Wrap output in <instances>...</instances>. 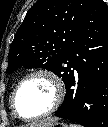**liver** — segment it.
I'll use <instances>...</instances> for the list:
<instances>
[{"label":"liver","instance_id":"6515ba94","mask_svg":"<svg viewBox=\"0 0 108 127\" xmlns=\"http://www.w3.org/2000/svg\"><path fill=\"white\" fill-rule=\"evenodd\" d=\"M57 121V118H47L44 120H40L38 122H33L31 124H28L24 127H38V126H49L53 122Z\"/></svg>","mask_w":108,"mask_h":127}]
</instances>
